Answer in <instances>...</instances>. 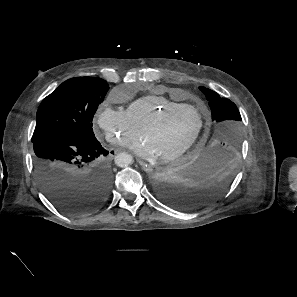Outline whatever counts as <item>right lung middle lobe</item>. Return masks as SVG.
<instances>
[{"label": "right lung middle lobe", "mask_w": 297, "mask_h": 297, "mask_svg": "<svg viewBox=\"0 0 297 297\" xmlns=\"http://www.w3.org/2000/svg\"><path fill=\"white\" fill-rule=\"evenodd\" d=\"M109 85L95 77H76L63 82L40 104L32 139L51 133H73L95 140L93 116Z\"/></svg>", "instance_id": "obj_1"}]
</instances>
